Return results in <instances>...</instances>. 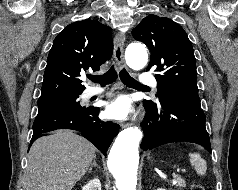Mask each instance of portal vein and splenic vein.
Instances as JSON below:
<instances>
[{
  "label": "portal vein and splenic vein",
  "instance_id": "portal-vein-and-splenic-vein-1",
  "mask_svg": "<svg viewBox=\"0 0 238 190\" xmlns=\"http://www.w3.org/2000/svg\"><path fill=\"white\" fill-rule=\"evenodd\" d=\"M183 172H185L186 170L185 169H182ZM175 176V174H173Z\"/></svg>",
  "mask_w": 238,
  "mask_h": 190
}]
</instances>
